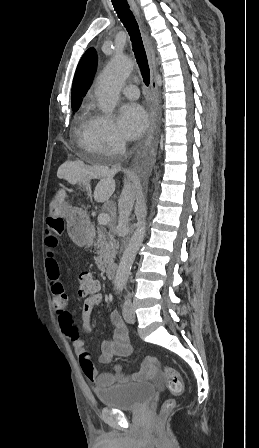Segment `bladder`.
Returning <instances> with one entry per match:
<instances>
[{"instance_id": "31cf9c89", "label": "bladder", "mask_w": 259, "mask_h": 448, "mask_svg": "<svg viewBox=\"0 0 259 448\" xmlns=\"http://www.w3.org/2000/svg\"><path fill=\"white\" fill-rule=\"evenodd\" d=\"M154 393L155 387L151 383H121L95 390V396L102 405L121 410L144 407Z\"/></svg>"}]
</instances>
